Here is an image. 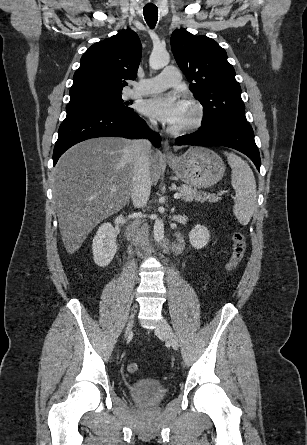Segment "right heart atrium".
Listing matches in <instances>:
<instances>
[{"label":"right heart atrium","mask_w":307,"mask_h":445,"mask_svg":"<svg viewBox=\"0 0 307 445\" xmlns=\"http://www.w3.org/2000/svg\"><path fill=\"white\" fill-rule=\"evenodd\" d=\"M149 124H150L151 126H154V125L156 124V121H155V119H154L153 117H150V119H149Z\"/></svg>","instance_id":"d8ad5b80"}]
</instances>
